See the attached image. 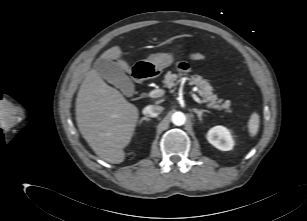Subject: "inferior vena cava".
<instances>
[{"instance_id": "602c4592", "label": "inferior vena cava", "mask_w": 307, "mask_h": 221, "mask_svg": "<svg viewBox=\"0 0 307 221\" xmlns=\"http://www.w3.org/2000/svg\"><path fill=\"white\" fill-rule=\"evenodd\" d=\"M163 110V107L157 105H148L143 109V114L148 117H156Z\"/></svg>"}]
</instances>
